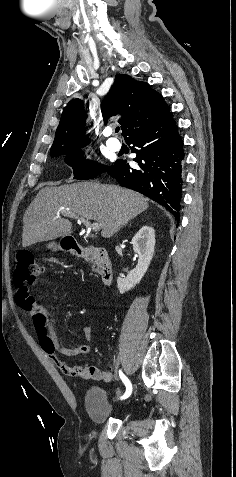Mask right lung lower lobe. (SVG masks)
<instances>
[{"label":"right lung lower lobe","instance_id":"1","mask_svg":"<svg viewBox=\"0 0 236 477\" xmlns=\"http://www.w3.org/2000/svg\"><path fill=\"white\" fill-rule=\"evenodd\" d=\"M125 141L134 146V161L139 167L132 168L126 160H118L107 173L121 186L166 207L178 223L184 152L171 113L156 125L132 133Z\"/></svg>","mask_w":236,"mask_h":477}]
</instances>
